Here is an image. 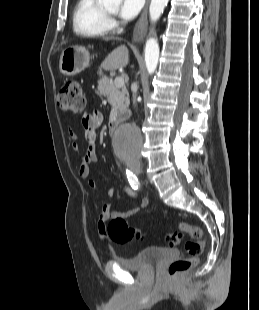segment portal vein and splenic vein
<instances>
[{"instance_id":"18ae733b","label":"portal vein and splenic vein","mask_w":259,"mask_h":310,"mask_svg":"<svg viewBox=\"0 0 259 310\" xmlns=\"http://www.w3.org/2000/svg\"><path fill=\"white\" fill-rule=\"evenodd\" d=\"M114 85L117 88H121L124 86V78L123 77H116L114 80Z\"/></svg>"}]
</instances>
